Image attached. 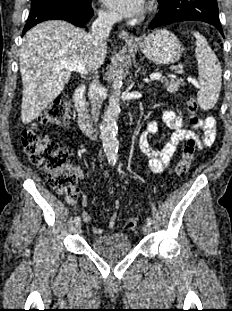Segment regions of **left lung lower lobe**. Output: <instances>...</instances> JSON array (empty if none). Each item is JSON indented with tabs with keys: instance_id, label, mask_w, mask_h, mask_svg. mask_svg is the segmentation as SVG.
I'll return each instance as SVG.
<instances>
[{
	"instance_id": "obj_1",
	"label": "left lung lower lobe",
	"mask_w": 232,
	"mask_h": 311,
	"mask_svg": "<svg viewBox=\"0 0 232 311\" xmlns=\"http://www.w3.org/2000/svg\"><path fill=\"white\" fill-rule=\"evenodd\" d=\"M159 12L151 29L180 21H202L215 26L223 35L216 0H157Z\"/></svg>"
}]
</instances>
